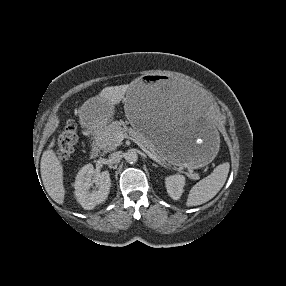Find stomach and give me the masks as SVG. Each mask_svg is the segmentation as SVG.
<instances>
[{
  "label": "stomach",
  "mask_w": 286,
  "mask_h": 286,
  "mask_svg": "<svg viewBox=\"0 0 286 286\" xmlns=\"http://www.w3.org/2000/svg\"><path fill=\"white\" fill-rule=\"evenodd\" d=\"M112 109L105 98L93 96L80 105L78 117L89 130H96L110 120ZM125 113L133 129L169 163L200 168L213 160L219 141L211 123L214 100L185 80L159 73L137 78L126 93Z\"/></svg>",
  "instance_id": "stomach-1"
}]
</instances>
